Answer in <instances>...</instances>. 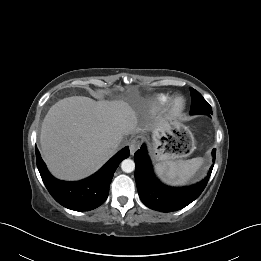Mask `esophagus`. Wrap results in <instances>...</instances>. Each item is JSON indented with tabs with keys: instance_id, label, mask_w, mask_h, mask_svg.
Returning a JSON list of instances; mask_svg holds the SVG:
<instances>
[{
	"instance_id": "obj_1",
	"label": "esophagus",
	"mask_w": 261,
	"mask_h": 261,
	"mask_svg": "<svg viewBox=\"0 0 261 261\" xmlns=\"http://www.w3.org/2000/svg\"><path fill=\"white\" fill-rule=\"evenodd\" d=\"M140 145H141V142H140V140L137 139V138H134V139L130 142L129 149H130V152H131L132 155L135 153V151H136L137 149H139Z\"/></svg>"
}]
</instances>
